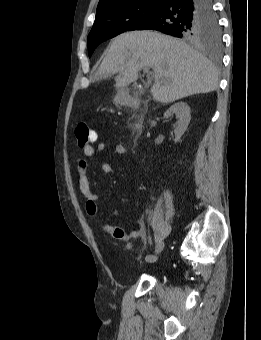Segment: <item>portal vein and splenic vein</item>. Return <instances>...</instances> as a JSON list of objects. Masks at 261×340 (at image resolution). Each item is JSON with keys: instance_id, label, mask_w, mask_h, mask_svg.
<instances>
[{"instance_id": "portal-vein-and-splenic-vein-1", "label": "portal vein and splenic vein", "mask_w": 261, "mask_h": 340, "mask_svg": "<svg viewBox=\"0 0 261 340\" xmlns=\"http://www.w3.org/2000/svg\"><path fill=\"white\" fill-rule=\"evenodd\" d=\"M144 71H145V72H148V71H149V67H145V68H144Z\"/></svg>"}]
</instances>
